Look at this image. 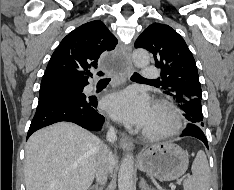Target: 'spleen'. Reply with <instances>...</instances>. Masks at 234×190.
<instances>
[{
    "label": "spleen",
    "mask_w": 234,
    "mask_h": 190,
    "mask_svg": "<svg viewBox=\"0 0 234 190\" xmlns=\"http://www.w3.org/2000/svg\"><path fill=\"white\" fill-rule=\"evenodd\" d=\"M191 170L192 177L184 181V190H209L210 169L204 151H198Z\"/></svg>",
    "instance_id": "spleen-1"
}]
</instances>
